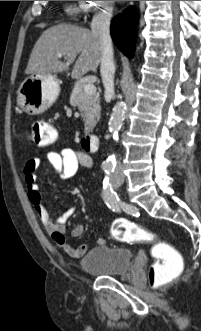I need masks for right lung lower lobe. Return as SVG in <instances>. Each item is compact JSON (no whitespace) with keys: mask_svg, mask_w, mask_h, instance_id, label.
I'll return each mask as SVG.
<instances>
[{"mask_svg":"<svg viewBox=\"0 0 201 331\" xmlns=\"http://www.w3.org/2000/svg\"><path fill=\"white\" fill-rule=\"evenodd\" d=\"M137 12L130 7L115 16L111 23V36L115 45L127 57L132 58L137 37Z\"/></svg>","mask_w":201,"mask_h":331,"instance_id":"obj_1","label":"right lung lower lobe"}]
</instances>
